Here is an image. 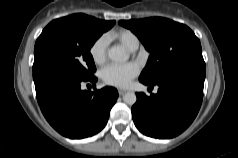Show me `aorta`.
<instances>
[{"label":"aorta","mask_w":238,"mask_h":158,"mask_svg":"<svg viewBox=\"0 0 238 158\" xmlns=\"http://www.w3.org/2000/svg\"><path fill=\"white\" fill-rule=\"evenodd\" d=\"M108 57L112 61L123 62L128 59L129 55L124 49L118 48V47H113L109 50ZM136 100H137V97L134 92H127L123 95V101H124V103H126L128 105H134L136 103Z\"/></svg>","instance_id":"obj_1"}]
</instances>
